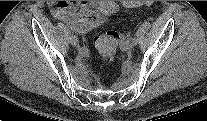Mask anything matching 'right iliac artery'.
I'll return each mask as SVG.
<instances>
[{
  "instance_id": "obj_1",
  "label": "right iliac artery",
  "mask_w": 207,
  "mask_h": 121,
  "mask_svg": "<svg viewBox=\"0 0 207 121\" xmlns=\"http://www.w3.org/2000/svg\"><path fill=\"white\" fill-rule=\"evenodd\" d=\"M70 28H71V30H72L73 32H75V33L78 32L74 26H70ZM81 50H87V48H86L85 46H83V47L81 48Z\"/></svg>"
}]
</instances>
